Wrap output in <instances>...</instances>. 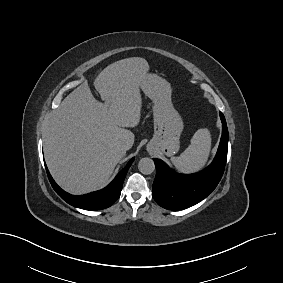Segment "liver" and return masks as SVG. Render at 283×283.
Instances as JSON below:
<instances>
[{
	"label": "liver",
	"instance_id": "6515ba94",
	"mask_svg": "<svg viewBox=\"0 0 283 283\" xmlns=\"http://www.w3.org/2000/svg\"><path fill=\"white\" fill-rule=\"evenodd\" d=\"M149 71L140 57L119 60L102 70L94 86L87 83L71 92L53 112L44 133L49 171L64 190L84 194L102 188L126 154L123 143H134L133 128L140 122V84Z\"/></svg>",
	"mask_w": 283,
	"mask_h": 283
}]
</instances>
